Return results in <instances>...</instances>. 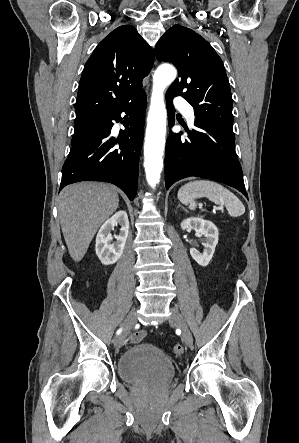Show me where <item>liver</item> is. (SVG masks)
<instances>
[{
  "label": "liver",
  "instance_id": "liver-1",
  "mask_svg": "<svg viewBox=\"0 0 299 443\" xmlns=\"http://www.w3.org/2000/svg\"><path fill=\"white\" fill-rule=\"evenodd\" d=\"M119 196L108 184L81 182L59 195L58 213L69 254L81 261L102 223L118 208Z\"/></svg>",
  "mask_w": 299,
  "mask_h": 443
}]
</instances>
